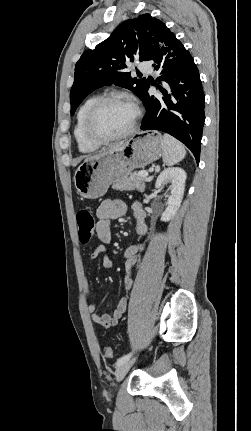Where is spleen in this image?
Segmentation results:
<instances>
[{"label": "spleen", "instance_id": "1", "mask_svg": "<svg viewBox=\"0 0 251 431\" xmlns=\"http://www.w3.org/2000/svg\"><path fill=\"white\" fill-rule=\"evenodd\" d=\"M164 152H163V162L172 166L180 162L186 155L185 147L176 140L174 137L164 134Z\"/></svg>", "mask_w": 251, "mask_h": 431}]
</instances>
